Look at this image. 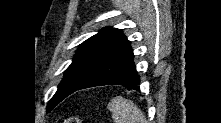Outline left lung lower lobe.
<instances>
[{"instance_id":"left-lung-lower-lobe-1","label":"left lung lower lobe","mask_w":221,"mask_h":123,"mask_svg":"<svg viewBox=\"0 0 221 123\" xmlns=\"http://www.w3.org/2000/svg\"><path fill=\"white\" fill-rule=\"evenodd\" d=\"M133 58V51L130 49L100 69L96 74L85 81L77 90L109 84L122 85L128 90H138L140 80L136 72Z\"/></svg>"}]
</instances>
